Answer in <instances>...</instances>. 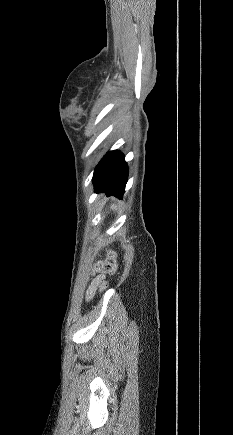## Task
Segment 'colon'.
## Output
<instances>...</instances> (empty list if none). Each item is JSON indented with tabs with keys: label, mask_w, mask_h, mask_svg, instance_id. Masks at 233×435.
I'll return each mask as SVG.
<instances>
[{
	"label": "colon",
	"mask_w": 233,
	"mask_h": 435,
	"mask_svg": "<svg viewBox=\"0 0 233 435\" xmlns=\"http://www.w3.org/2000/svg\"><path fill=\"white\" fill-rule=\"evenodd\" d=\"M116 266H117L116 255L113 251L109 250L107 252L105 260L98 261L94 264L93 273L101 274L105 272H111L116 268ZM100 288L101 290H104L105 284L100 282Z\"/></svg>",
	"instance_id": "5ec220e1"
}]
</instances>
